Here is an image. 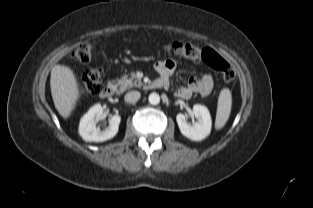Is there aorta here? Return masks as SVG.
Returning a JSON list of instances; mask_svg holds the SVG:
<instances>
[{
    "mask_svg": "<svg viewBox=\"0 0 313 208\" xmlns=\"http://www.w3.org/2000/svg\"><path fill=\"white\" fill-rule=\"evenodd\" d=\"M148 101L152 105H157L160 102V96L157 93H151L148 97Z\"/></svg>",
    "mask_w": 313,
    "mask_h": 208,
    "instance_id": "1",
    "label": "aorta"
}]
</instances>
